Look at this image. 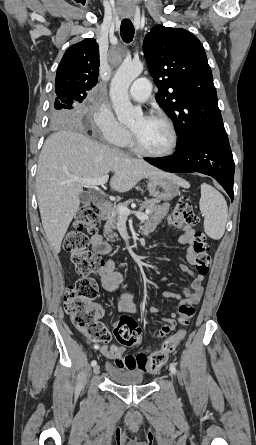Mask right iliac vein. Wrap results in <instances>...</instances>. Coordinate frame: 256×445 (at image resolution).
Masks as SVG:
<instances>
[{"label": "right iliac vein", "instance_id": "1", "mask_svg": "<svg viewBox=\"0 0 256 445\" xmlns=\"http://www.w3.org/2000/svg\"><path fill=\"white\" fill-rule=\"evenodd\" d=\"M100 372V366L99 365H95L93 368V373L96 375Z\"/></svg>", "mask_w": 256, "mask_h": 445}]
</instances>
